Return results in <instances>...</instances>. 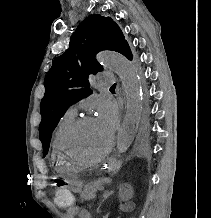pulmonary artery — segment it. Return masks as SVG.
I'll return each instance as SVG.
<instances>
[{
    "mask_svg": "<svg viewBox=\"0 0 211 218\" xmlns=\"http://www.w3.org/2000/svg\"><path fill=\"white\" fill-rule=\"evenodd\" d=\"M98 84L99 85H116V75L101 73L98 75ZM79 104L75 103L70 106L69 110L76 113L78 110Z\"/></svg>",
    "mask_w": 211,
    "mask_h": 218,
    "instance_id": "obj_1",
    "label": "pulmonary artery"
}]
</instances>
